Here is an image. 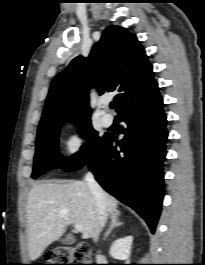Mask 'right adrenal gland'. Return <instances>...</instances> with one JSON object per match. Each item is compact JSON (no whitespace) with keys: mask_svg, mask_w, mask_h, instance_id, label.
Returning <instances> with one entry per match:
<instances>
[{"mask_svg":"<svg viewBox=\"0 0 205 265\" xmlns=\"http://www.w3.org/2000/svg\"><path fill=\"white\" fill-rule=\"evenodd\" d=\"M118 217H119V213L112 214L111 225L109 229L107 230V232L105 233L103 240H106V238L109 236V234L112 232L114 228L119 227L123 224L122 222H119Z\"/></svg>","mask_w":205,"mask_h":265,"instance_id":"right-adrenal-gland-1","label":"right adrenal gland"}]
</instances>
